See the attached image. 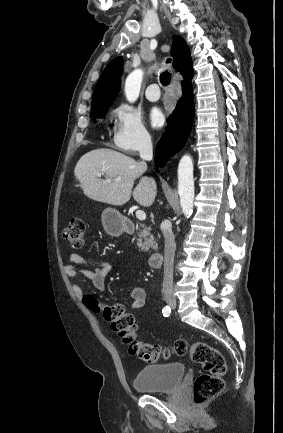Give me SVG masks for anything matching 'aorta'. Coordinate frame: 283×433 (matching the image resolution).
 <instances>
[{
	"instance_id": "obj_1",
	"label": "aorta",
	"mask_w": 283,
	"mask_h": 433,
	"mask_svg": "<svg viewBox=\"0 0 283 433\" xmlns=\"http://www.w3.org/2000/svg\"><path fill=\"white\" fill-rule=\"evenodd\" d=\"M143 80V71L136 69L125 81V95L129 102L137 100ZM178 193L180 204L185 217L191 216L194 202L193 161L191 156L184 155L178 165Z\"/></svg>"
}]
</instances>
